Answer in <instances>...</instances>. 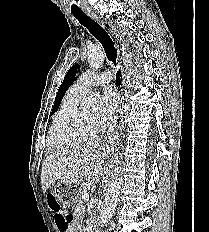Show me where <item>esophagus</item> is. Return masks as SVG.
<instances>
[{
    "label": "esophagus",
    "mask_w": 209,
    "mask_h": 232,
    "mask_svg": "<svg viewBox=\"0 0 209 232\" xmlns=\"http://www.w3.org/2000/svg\"><path fill=\"white\" fill-rule=\"evenodd\" d=\"M85 13L90 16L93 20L97 21L98 23L102 24L103 25V22L102 20L100 19V17L92 10V9H85ZM123 72V69L120 65L117 66V71H116V78H117V74L119 73V79L121 80L120 81V85H118L116 79H115V83L117 85V87L119 88L120 90V95H121V99H120V105H119V108H118V113H122V109H123V106H124V95H123V81H122V73Z\"/></svg>",
    "instance_id": "34e87169"
}]
</instances>
